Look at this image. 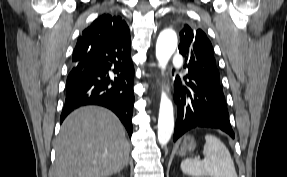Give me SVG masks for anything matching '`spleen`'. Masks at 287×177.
Returning a JSON list of instances; mask_svg holds the SVG:
<instances>
[{
    "mask_svg": "<svg viewBox=\"0 0 287 177\" xmlns=\"http://www.w3.org/2000/svg\"><path fill=\"white\" fill-rule=\"evenodd\" d=\"M205 141V159H186L181 162V170L192 177H237L230 152L221 140L206 135Z\"/></svg>",
    "mask_w": 287,
    "mask_h": 177,
    "instance_id": "1",
    "label": "spleen"
}]
</instances>
